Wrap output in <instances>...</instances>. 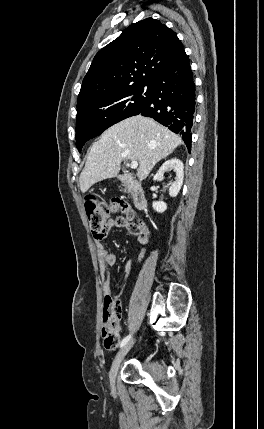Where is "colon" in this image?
Listing matches in <instances>:
<instances>
[{
    "label": "colon",
    "mask_w": 264,
    "mask_h": 429,
    "mask_svg": "<svg viewBox=\"0 0 264 429\" xmlns=\"http://www.w3.org/2000/svg\"><path fill=\"white\" fill-rule=\"evenodd\" d=\"M85 211L89 226L94 237L101 238L111 218L112 212H120L128 219H132V210L125 202L114 199L109 204L95 196L85 200ZM139 224L138 222H131ZM121 319V305L111 296L104 299L102 317V337L106 349L113 350L119 341V329Z\"/></svg>",
    "instance_id": "1"
}]
</instances>
